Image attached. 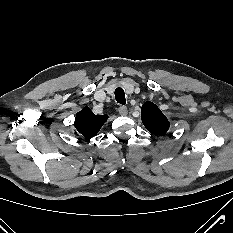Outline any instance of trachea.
Wrapping results in <instances>:
<instances>
[{
    "instance_id": "1",
    "label": "trachea",
    "mask_w": 233,
    "mask_h": 233,
    "mask_svg": "<svg viewBox=\"0 0 233 233\" xmlns=\"http://www.w3.org/2000/svg\"><path fill=\"white\" fill-rule=\"evenodd\" d=\"M115 99L119 104H126L125 93L122 88H117L115 90Z\"/></svg>"
}]
</instances>
